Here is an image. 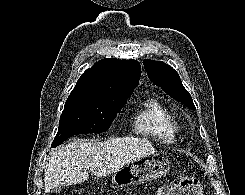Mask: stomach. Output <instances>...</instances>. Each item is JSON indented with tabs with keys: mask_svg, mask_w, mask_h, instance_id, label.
Listing matches in <instances>:
<instances>
[{
	"mask_svg": "<svg viewBox=\"0 0 245 195\" xmlns=\"http://www.w3.org/2000/svg\"><path fill=\"white\" fill-rule=\"evenodd\" d=\"M170 169L168 159L152 154L135 159L113 173L112 182L119 188L156 180Z\"/></svg>",
	"mask_w": 245,
	"mask_h": 195,
	"instance_id": "1",
	"label": "stomach"
}]
</instances>
